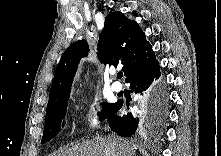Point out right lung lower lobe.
Masks as SVG:
<instances>
[{"mask_svg": "<svg viewBox=\"0 0 221 156\" xmlns=\"http://www.w3.org/2000/svg\"><path fill=\"white\" fill-rule=\"evenodd\" d=\"M126 83L130 84L132 92L141 96L146 113L143 117L133 111L119 113L123 106V101H119L113 113L107 118L111 130L120 136L131 137L140 125L146 124L152 127L161 125L165 119L168 99L159 62L155 60L147 68L134 73Z\"/></svg>", "mask_w": 221, "mask_h": 156, "instance_id": "1", "label": "right lung lower lobe"}]
</instances>
